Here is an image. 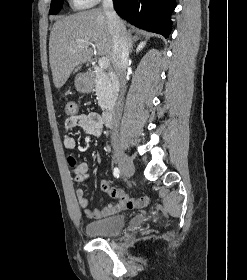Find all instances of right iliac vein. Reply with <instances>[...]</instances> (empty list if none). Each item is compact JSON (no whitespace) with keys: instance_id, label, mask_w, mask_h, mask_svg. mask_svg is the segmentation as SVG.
Here are the masks:
<instances>
[{"instance_id":"63e3f726","label":"right iliac vein","mask_w":247,"mask_h":280,"mask_svg":"<svg viewBox=\"0 0 247 280\" xmlns=\"http://www.w3.org/2000/svg\"><path fill=\"white\" fill-rule=\"evenodd\" d=\"M114 156L118 162L121 173L127 177L132 176L135 172V167L131 158L119 148L115 149Z\"/></svg>"}]
</instances>
